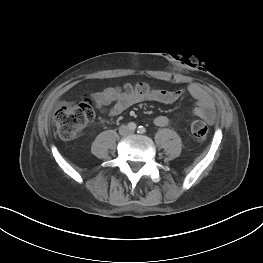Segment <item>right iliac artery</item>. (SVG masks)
Returning <instances> with one entry per match:
<instances>
[{
  "mask_svg": "<svg viewBox=\"0 0 263 263\" xmlns=\"http://www.w3.org/2000/svg\"><path fill=\"white\" fill-rule=\"evenodd\" d=\"M128 128H129L130 130L134 131V130L136 129V124L133 123V122H131V123L128 124Z\"/></svg>",
  "mask_w": 263,
  "mask_h": 263,
  "instance_id": "right-iliac-artery-1",
  "label": "right iliac artery"
}]
</instances>
